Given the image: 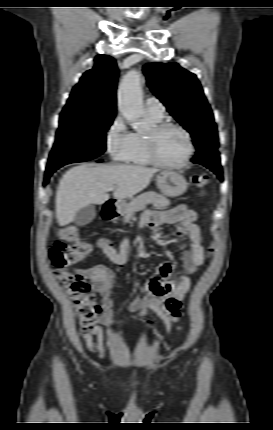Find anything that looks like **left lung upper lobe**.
I'll return each mask as SVG.
<instances>
[{
    "label": "left lung upper lobe",
    "instance_id": "left-lung-upper-lobe-1",
    "mask_svg": "<svg viewBox=\"0 0 273 430\" xmlns=\"http://www.w3.org/2000/svg\"><path fill=\"white\" fill-rule=\"evenodd\" d=\"M143 71L152 92L192 135L197 154L217 150L216 124L196 75L176 63H149Z\"/></svg>",
    "mask_w": 273,
    "mask_h": 430
}]
</instances>
